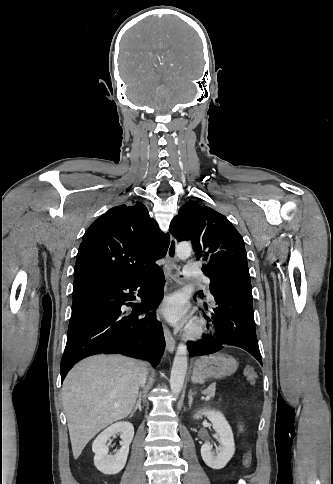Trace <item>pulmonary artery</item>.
Returning a JSON list of instances; mask_svg holds the SVG:
<instances>
[{
  "label": "pulmonary artery",
  "mask_w": 333,
  "mask_h": 484,
  "mask_svg": "<svg viewBox=\"0 0 333 484\" xmlns=\"http://www.w3.org/2000/svg\"><path fill=\"white\" fill-rule=\"evenodd\" d=\"M184 275L189 277L201 276V272L196 264H188L184 268ZM202 280L205 284H209L210 280L207 277L202 276Z\"/></svg>",
  "instance_id": "pulmonary-artery-1"
}]
</instances>
